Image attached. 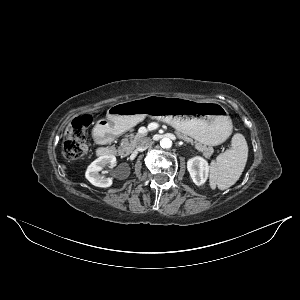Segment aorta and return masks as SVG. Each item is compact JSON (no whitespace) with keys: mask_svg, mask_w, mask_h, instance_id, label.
<instances>
[{"mask_svg":"<svg viewBox=\"0 0 300 300\" xmlns=\"http://www.w3.org/2000/svg\"><path fill=\"white\" fill-rule=\"evenodd\" d=\"M160 146L164 149H169L172 147V140L168 137H164L161 141H160Z\"/></svg>","mask_w":300,"mask_h":300,"instance_id":"762f6f07","label":"aorta"}]
</instances>
